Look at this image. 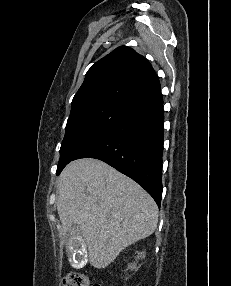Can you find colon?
<instances>
[{
  "instance_id": "1",
  "label": "colon",
  "mask_w": 231,
  "mask_h": 286,
  "mask_svg": "<svg viewBox=\"0 0 231 286\" xmlns=\"http://www.w3.org/2000/svg\"><path fill=\"white\" fill-rule=\"evenodd\" d=\"M63 286H100L91 284L88 277L81 272H71L65 275Z\"/></svg>"
}]
</instances>
